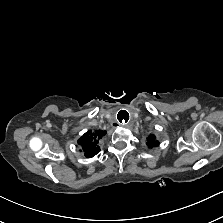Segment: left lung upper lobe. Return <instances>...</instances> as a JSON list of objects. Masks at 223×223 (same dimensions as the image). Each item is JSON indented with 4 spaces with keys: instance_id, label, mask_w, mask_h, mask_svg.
Segmentation results:
<instances>
[{
    "instance_id": "1",
    "label": "left lung upper lobe",
    "mask_w": 223,
    "mask_h": 223,
    "mask_svg": "<svg viewBox=\"0 0 223 223\" xmlns=\"http://www.w3.org/2000/svg\"><path fill=\"white\" fill-rule=\"evenodd\" d=\"M150 148L157 147L159 145V142L156 141L155 135L151 134L147 138V143H146Z\"/></svg>"
}]
</instances>
